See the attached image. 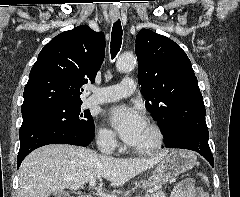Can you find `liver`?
<instances>
[{
	"mask_svg": "<svg viewBox=\"0 0 240 197\" xmlns=\"http://www.w3.org/2000/svg\"><path fill=\"white\" fill-rule=\"evenodd\" d=\"M164 154L147 159H121L84 147L47 145L31 152L19 168L17 197H49L65 188L78 190L91 179L106 178L111 187L153 167Z\"/></svg>",
	"mask_w": 240,
	"mask_h": 197,
	"instance_id": "1",
	"label": "liver"
}]
</instances>
